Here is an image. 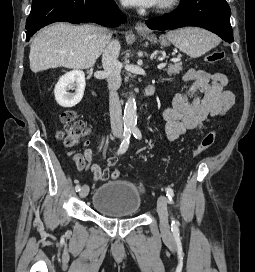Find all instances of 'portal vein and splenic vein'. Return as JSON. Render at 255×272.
<instances>
[{"label":"portal vein and splenic vein","mask_w":255,"mask_h":272,"mask_svg":"<svg viewBox=\"0 0 255 272\" xmlns=\"http://www.w3.org/2000/svg\"><path fill=\"white\" fill-rule=\"evenodd\" d=\"M172 61H175L174 59ZM166 66V63H160L157 67L158 69H162Z\"/></svg>","instance_id":"portal-vein-and-splenic-vein-1"}]
</instances>
